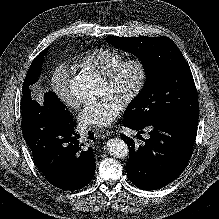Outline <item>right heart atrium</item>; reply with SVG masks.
<instances>
[{
	"instance_id": "d8ad5b80",
	"label": "right heart atrium",
	"mask_w": 219,
	"mask_h": 219,
	"mask_svg": "<svg viewBox=\"0 0 219 219\" xmlns=\"http://www.w3.org/2000/svg\"><path fill=\"white\" fill-rule=\"evenodd\" d=\"M71 79V72L65 66H59L51 75L50 85L63 105L77 109L80 106V101L71 93Z\"/></svg>"
}]
</instances>
